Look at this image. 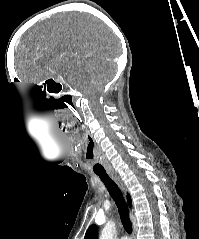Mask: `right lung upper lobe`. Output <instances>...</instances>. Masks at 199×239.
I'll return each instance as SVG.
<instances>
[{
    "mask_svg": "<svg viewBox=\"0 0 199 239\" xmlns=\"http://www.w3.org/2000/svg\"><path fill=\"white\" fill-rule=\"evenodd\" d=\"M127 201H128V204L131 206L132 203H131V198L129 194H127ZM97 233H98L97 226L91 225L89 229L87 230L84 239H97L98 237Z\"/></svg>",
    "mask_w": 199,
    "mask_h": 239,
    "instance_id": "1",
    "label": "right lung upper lobe"
}]
</instances>
